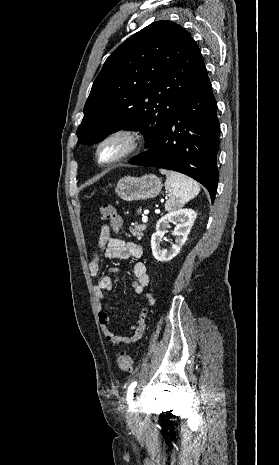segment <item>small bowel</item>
<instances>
[{"label": "small bowel", "mask_w": 279, "mask_h": 465, "mask_svg": "<svg viewBox=\"0 0 279 465\" xmlns=\"http://www.w3.org/2000/svg\"><path fill=\"white\" fill-rule=\"evenodd\" d=\"M108 259H128L135 258L137 261L133 266V274L136 280L133 282V290L136 294L144 292L149 285V275L145 264L140 260L143 255V249L136 242L124 241L111 236L110 227L103 225L100 230L98 244L92 253L89 261L90 275L96 279V284L93 287L94 297L98 308V318L102 333L107 342L113 346L121 343L132 344L136 342L144 333L146 326V318L148 314L147 308H142L139 312L136 323L131 327V335H121L116 333L110 327V319L106 310L102 308V303L105 302V291H110L113 288V279L111 274L118 271L117 268L110 267L107 269V274H100L101 255ZM146 303L149 306L154 304L152 294L145 295Z\"/></svg>", "instance_id": "small-bowel-1"}]
</instances>
